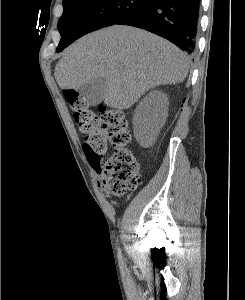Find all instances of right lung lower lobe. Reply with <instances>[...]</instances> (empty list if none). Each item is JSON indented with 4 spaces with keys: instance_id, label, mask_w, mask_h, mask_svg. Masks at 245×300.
<instances>
[{
    "instance_id": "obj_1",
    "label": "right lung lower lobe",
    "mask_w": 245,
    "mask_h": 300,
    "mask_svg": "<svg viewBox=\"0 0 245 300\" xmlns=\"http://www.w3.org/2000/svg\"><path fill=\"white\" fill-rule=\"evenodd\" d=\"M200 0H151L116 24L155 33L193 53L199 22Z\"/></svg>"
}]
</instances>
